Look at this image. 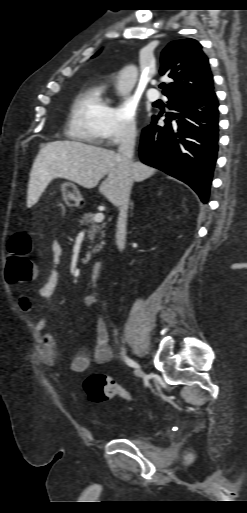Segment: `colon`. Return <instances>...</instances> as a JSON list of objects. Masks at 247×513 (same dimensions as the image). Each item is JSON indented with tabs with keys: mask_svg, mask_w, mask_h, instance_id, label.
<instances>
[{
	"mask_svg": "<svg viewBox=\"0 0 247 513\" xmlns=\"http://www.w3.org/2000/svg\"><path fill=\"white\" fill-rule=\"evenodd\" d=\"M34 274L35 268L31 258V238L26 233H17L9 241L5 278L9 283H21L22 281H30ZM83 386L88 399L94 403H104L114 397H119L127 402L134 401L131 392L104 373L91 374L85 379Z\"/></svg>",
	"mask_w": 247,
	"mask_h": 513,
	"instance_id": "5ec220e1",
	"label": "colon"
}]
</instances>
